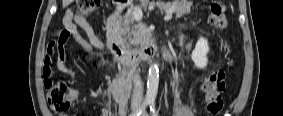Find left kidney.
<instances>
[{"label": "left kidney", "instance_id": "1", "mask_svg": "<svg viewBox=\"0 0 283 116\" xmlns=\"http://www.w3.org/2000/svg\"><path fill=\"white\" fill-rule=\"evenodd\" d=\"M209 46L207 39L200 37L196 43L195 49L192 51L191 59L197 68H205L208 63L207 53Z\"/></svg>", "mask_w": 283, "mask_h": 116}]
</instances>
